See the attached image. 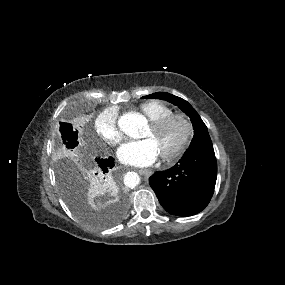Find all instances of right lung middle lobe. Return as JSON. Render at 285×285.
<instances>
[{
	"instance_id": "dd1d6c3e",
	"label": "right lung middle lobe",
	"mask_w": 285,
	"mask_h": 285,
	"mask_svg": "<svg viewBox=\"0 0 285 285\" xmlns=\"http://www.w3.org/2000/svg\"><path fill=\"white\" fill-rule=\"evenodd\" d=\"M56 144L60 155L57 163V177L62 195L70 209L96 227H109L117 223L122 216V210L110 220H99L88 210L87 188L91 180L101 181L102 175L94 157L78 146V132L71 124L60 123Z\"/></svg>"
}]
</instances>
